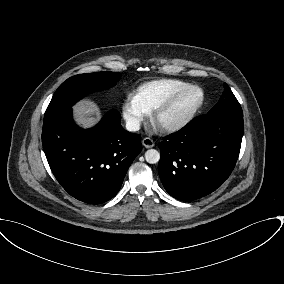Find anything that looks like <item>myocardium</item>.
Listing matches in <instances>:
<instances>
[{
	"instance_id": "1",
	"label": "myocardium",
	"mask_w": 284,
	"mask_h": 284,
	"mask_svg": "<svg viewBox=\"0 0 284 284\" xmlns=\"http://www.w3.org/2000/svg\"><path fill=\"white\" fill-rule=\"evenodd\" d=\"M191 90H198L200 92L201 97L199 102L186 114L176 118L167 119V114L173 109L178 101ZM205 99L206 95L204 89L199 85L190 84L174 93L165 102L158 106L151 115V121L161 132L179 131L186 127L195 118L204 106Z\"/></svg>"
}]
</instances>
